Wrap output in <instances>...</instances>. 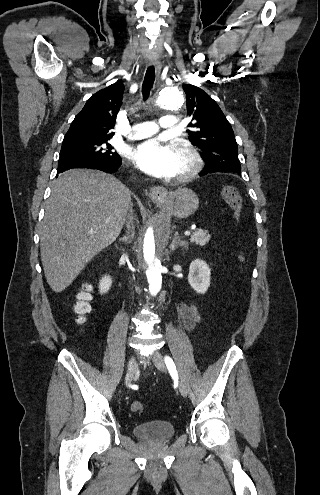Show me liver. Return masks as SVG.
<instances>
[{"instance_id":"obj_1","label":"liver","mask_w":320,"mask_h":495,"mask_svg":"<svg viewBox=\"0 0 320 495\" xmlns=\"http://www.w3.org/2000/svg\"><path fill=\"white\" fill-rule=\"evenodd\" d=\"M130 202V191L109 174L72 169L58 176L40 229L42 265L54 292L65 290L117 239Z\"/></svg>"}]
</instances>
